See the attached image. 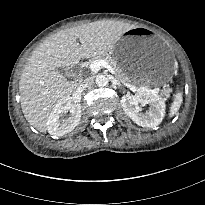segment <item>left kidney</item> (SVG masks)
Wrapping results in <instances>:
<instances>
[{
    "instance_id": "left-kidney-1",
    "label": "left kidney",
    "mask_w": 205,
    "mask_h": 205,
    "mask_svg": "<svg viewBox=\"0 0 205 205\" xmlns=\"http://www.w3.org/2000/svg\"><path fill=\"white\" fill-rule=\"evenodd\" d=\"M141 105H149V109L142 113L138 108ZM124 112L137 125L153 128L158 126L165 115V102L159 95L147 89H140L135 95L126 94L121 98Z\"/></svg>"
}]
</instances>
